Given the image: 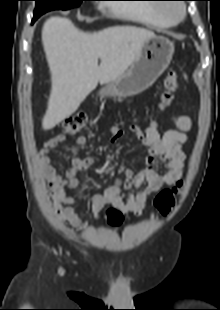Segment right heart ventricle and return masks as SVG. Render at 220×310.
<instances>
[{
	"label": "right heart ventricle",
	"mask_w": 220,
	"mask_h": 310,
	"mask_svg": "<svg viewBox=\"0 0 220 310\" xmlns=\"http://www.w3.org/2000/svg\"><path fill=\"white\" fill-rule=\"evenodd\" d=\"M162 5L141 4L136 6H118L113 11L116 15L137 21L145 26L154 28H166L174 23L160 14Z\"/></svg>",
	"instance_id": "obj_1"
}]
</instances>
